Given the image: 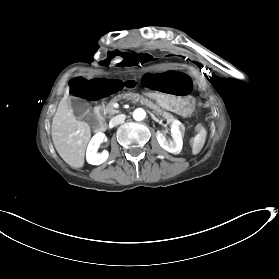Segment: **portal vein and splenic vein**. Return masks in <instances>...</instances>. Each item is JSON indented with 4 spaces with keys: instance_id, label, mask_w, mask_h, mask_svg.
<instances>
[{
    "instance_id": "18ae733b",
    "label": "portal vein and splenic vein",
    "mask_w": 279,
    "mask_h": 279,
    "mask_svg": "<svg viewBox=\"0 0 279 279\" xmlns=\"http://www.w3.org/2000/svg\"><path fill=\"white\" fill-rule=\"evenodd\" d=\"M114 108H117V105H114Z\"/></svg>"
}]
</instances>
